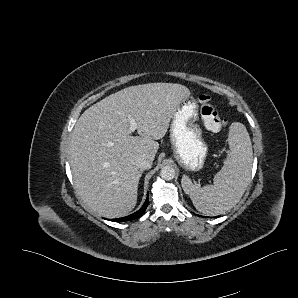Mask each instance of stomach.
Returning a JSON list of instances; mask_svg holds the SVG:
<instances>
[{
  "label": "stomach",
  "mask_w": 298,
  "mask_h": 298,
  "mask_svg": "<svg viewBox=\"0 0 298 298\" xmlns=\"http://www.w3.org/2000/svg\"><path fill=\"white\" fill-rule=\"evenodd\" d=\"M198 118L199 105L193 96L183 99L172 115L169 129L172 155L185 171H200L208 156Z\"/></svg>",
  "instance_id": "1"
}]
</instances>
